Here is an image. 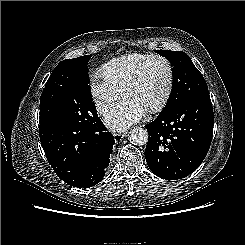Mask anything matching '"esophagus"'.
<instances>
[{
	"label": "esophagus",
	"mask_w": 245,
	"mask_h": 245,
	"mask_svg": "<svg viewBox=\"0 0 245 245\" xmlns=\"http://www.w3.org/2000/svg\"><path fill=\"white\" fill-rule=\"evenodd\" d=\"M113 136H114L115 142L118 143L124 138L125 134L124 133H114Z\"/></svg>",
	"instance_id": "obj_1"
}]
</instances>
